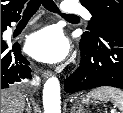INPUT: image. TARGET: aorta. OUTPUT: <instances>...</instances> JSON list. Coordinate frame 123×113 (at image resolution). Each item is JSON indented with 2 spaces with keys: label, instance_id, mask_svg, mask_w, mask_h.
<instances>
[{
  "label": "aorta",
  "instance_id": "1",
  "mask_svg": "<svg viewBox=\"0 0 123 113\" xmlns=\"http://www.w3.org/2000/svg\"><path fill=\"white\" fill-rule=\"evenodd\" d=\"M60 82L58 78H49L43 88V107L45 113H61Z\"/></svg>",
  "mask_w": 123,
  "mask_h": 113
}]
</instances>
